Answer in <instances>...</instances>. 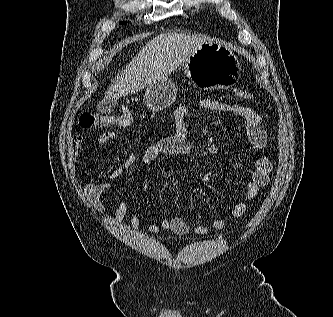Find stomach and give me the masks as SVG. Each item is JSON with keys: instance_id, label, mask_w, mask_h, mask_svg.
<instances>
[{"instance_id": "obj_1", "label": "stomach", "mask_w": 333, "mask_h": 317, "mask_svg": "<svg viewBox=\"0 0 333 317\" xmlns=\"http://www.w3.org/2000/svg\"><path fill=\"white\" fill-rule=\"evenodd\" d=\"M182 65L187 77L201 90L228 87L241 69L233 50L214 40L199 45ZM176 94L174 82L165 77L148 85L143 100L148 109L161 111L171 105Z\"/></svg>"}]
</instances>
